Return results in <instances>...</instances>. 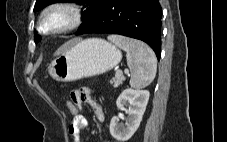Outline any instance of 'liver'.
<instances>
[{
  "label": "liver",
  "mask_w": 227,
  "mask_h": 142,
  "mask_svg": "<svg viewBox=\"0 0 227 142\" xmlns=\"http://www.w3.org/2000/svg\"><path fill=\"white\" fill-rule=\"evenodd\" d=\"M78 39H73L70 40L68 42H66L64 45H62L60 48H58V50L54 53V55H60L62 54L70 45H72L73 43L77 42Z\"/></svg>",
  "instance_id": "obj_1"
}]
</instances>
